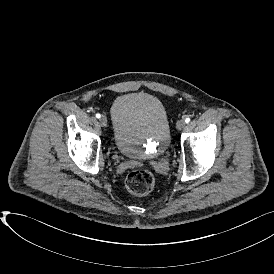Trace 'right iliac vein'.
<instances>
[{"label":"right iliac vein","mask_w":274,"mask_h":274,"mask_svg":"<svg viewBox=\"0 0 274 274\" xmlns=\"http://www.w3.org/2000/svg\"><path fill=\"white\" fill-rule=\"evenodd\" d=\"M101 126L106 127L107 126V118L105 116L100 117L99 119Z\"/></svg>","instance_id":"obj_1"}]
</instances>
